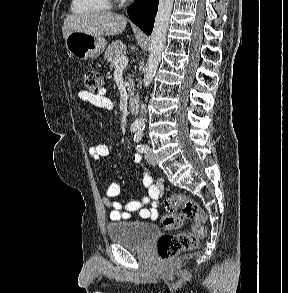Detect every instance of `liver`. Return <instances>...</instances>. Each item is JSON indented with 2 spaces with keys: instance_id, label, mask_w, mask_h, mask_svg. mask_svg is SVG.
<instances>
[{
  "instance_id": "6515ba94",
  "label": "liver",
  "mask_w": 288,
  "mask_h": 293,
  "mask_svg": "<svg viewBox=\"0 0 288 293\" xmlns=\"http://www.w3.org/2000/svg\"><path fill=\"white\" fill-rule=\"evenodd\" d=\"M127 19L112 12H91L69 15L62 26L64 39L72 31H80L95 36H113L122 33Z\"/></svg>"
}]
</instances>
